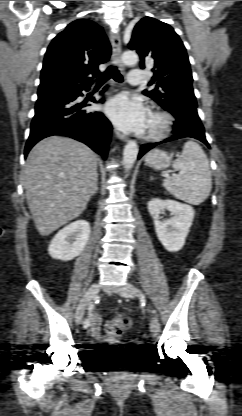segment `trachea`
I'll return each mask as SVG.
<instances>
[{
  "instance_id": "trachea-1",
  "label": "trachea",
  "mask_w": 242,
  "mask_h": 416,
  "mask_svg": "<svg viewBox=\"0 0 242 416\" xmlns=\"http://www.w3.org/2000/svg\"><path fill=\"white\" fill-rule=\"evenodd\" d=\"M111 77H113V79L119 83L123 82V77L120 74L119 70L115 66H110L105 71V73L100 78H98L96 86L103 85Z\"/></svg>"
}]
</instances>
